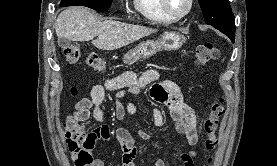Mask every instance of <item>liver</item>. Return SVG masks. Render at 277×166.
I'll return each mask as SVG.
<instances>
[{
	"label": "liver",
	"instance_id": "6515ba94",
	"mask_svg": "<svg viewBox=\"0 0 277 166\" xmlns=\"http://www.w3.org/2000/svg\"><path fill=\"white\" fill-rule=\"evenodd\" d=\"M54 26L58 38L80 42L92 40L96 48L108 51L127 46L157 31L114 20L100 21L95 13L83 6H72L62 11ZM96 36L98 38L93 40Z\"/></svg>",
	"mask_w": 277,
	"mask_h": 166
}]
</instances>
